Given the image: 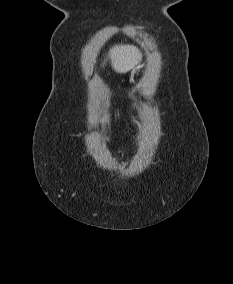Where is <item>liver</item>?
<instances>
[{"instance_id":"liver-1","label":"liver","mask_w":233,"mask_h":284,"mask_svg":"<svg viewBox=\"0 0 233 284\" xmlns=\"http://www.w3.org/2000/svg\"><path fill=\"white\" fill-rule=\"evenodd\" d=\"M112 67L118 73H126L141 61L142 55L132 45H115L109 51Z\"/></svg>"}]
</instances>
